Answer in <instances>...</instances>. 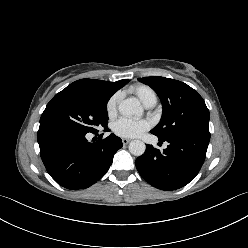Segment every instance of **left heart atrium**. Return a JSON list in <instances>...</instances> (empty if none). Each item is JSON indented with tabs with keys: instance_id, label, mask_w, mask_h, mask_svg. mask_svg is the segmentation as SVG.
Instances as JSON below:
<instances>
[{
	"instance_id": "left-heart-atrium-1",
	"label": "left heart atrium",
	"mask_w": 248,
	"mask_h": 248,
	"mask_svg": "<svg viewBox=\"0 0 248 248\" xmlns=\"http://www.w3.org/2000/svg\"><path fill=\"white\" fill-rule=\"evenodd\" d=\"M150 127V124L145 119H132L122 117L114 122L113 131L121 137L134 138L140 136Z\"/></svg>"
}]
</instances>
